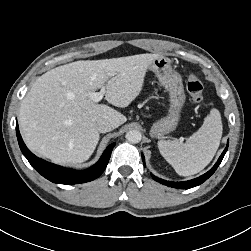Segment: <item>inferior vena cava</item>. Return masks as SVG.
Here are the masks:
<instances>
[{
	"mask_svg": "<svg viewBox=\"0 0 251 251\" xmlns=\"http://www.w3.org/2000/svg\"><path fill=\"white\" fill-rule=\"evenodd\" d=\"M97 128H98L99 132L105 133V132L113 130L115 127H114L113 123L110 122L109 120L99 119L97 121Z\"/></svg>",
	"mask_w": 251,
	"mask_h": 251,
	"instance_id": "inferior-vena-cava-1",
	"label": "inferior vena cava"
}]
</instances>
